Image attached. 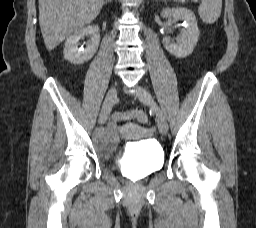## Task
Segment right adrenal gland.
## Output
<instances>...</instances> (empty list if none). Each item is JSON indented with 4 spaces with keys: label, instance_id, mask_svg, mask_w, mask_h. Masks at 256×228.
Here are the masks:
<instances>
[{
    "label": "right adrenal gland",
    "instance_id": "obj_1",
    "mask_svg": "<svg viewBox=\"0 0 256 228\" xmlns=\"http://www.w3.org/2000/svg\"><path fill=\"white\" fill-rule=\"evenodd\" d=\"M109 2H111V0H105L103 4H107Z\"/></svg>",
    "mask_w": 256,
    "mask_h": 228
}]
</instances>
